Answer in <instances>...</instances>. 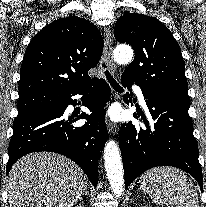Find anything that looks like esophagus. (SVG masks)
<instances>
[{"mask_svg": "<svg viewBox=\"0 0 206 207\" xmlns=\"http://www.w3.org/2000/svg\"><path fill=\"white\" fill-rule=\"evenodd\" d=\"M104 56L106 61L113 73H116L117 66L113 60L112 56V35L111 30L109 28H105L104 30ZM119 129L118 124L108 122V131L110 134H117Z\"/></svg>", "mask_w": 206, "mask_h": 207, "instance_id": "1", "label": "esophagus"}]
</instances>
